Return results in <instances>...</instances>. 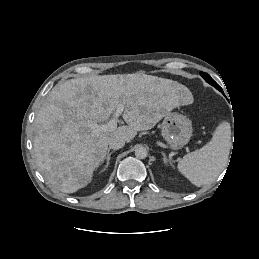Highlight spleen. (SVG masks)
Here are the masks:
<instances>
[{
    "instance_id": "obj_1",
    "label": "spleen",
    "mask_w": 259,
    "mask_h": 259,
    "mask_svg": "<svg viewBox=\"0 0 259 259\" xmlns=\"http://www.w3.org/2000/svg\"><path fill=\"white\" fill-rule=\"evenodd\" d=\"M231 145V127L225 121L204 147L181 159L178 170L195 186L210 184L227 166Z\"/></svg>"
}]
</instances>
